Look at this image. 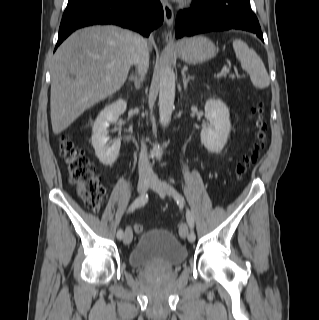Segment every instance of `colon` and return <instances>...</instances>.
I'll use <instances>...</instances> for the list:
<instances>
[{
  "label": "colon",
  "mask_w": 319,
  "mask_h": 320,
  "mask_svg": "<svg viewBox=\"0 0 319 320\" xmlns=\"http://www.w3.org/2000/svg\"><path fill=\"white\" fill-rule=\"evenodd\" d=\"M252 118L256 128V148L259 151L264 147L267 129L260 105L254 107ZM59 142L69 178L76 185L80 198L91 210L100 211L105 202V188L96 175L94 164L67 135H63ZM250 161L251 157H248L238 164L236 169L238 175L241 176L246 171ZM133 230L140 234L144 231V227L141 224H135Z\"/></svg>",
  "instance_id": "1"
}]
</instances>
